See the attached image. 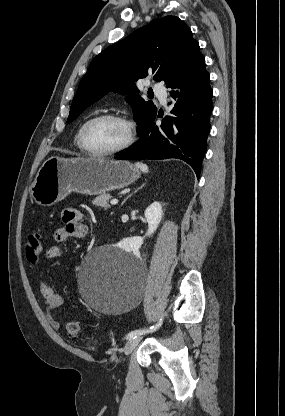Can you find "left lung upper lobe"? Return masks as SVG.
I'll use <instances>...</instances> for the list:
<instances>
[{
    "label": "left lung upper lobe",
    "mask_w": 285,
    "mask_h": 416,
    "mask_svg": "<svg viewBox=\"0 0 285 416\" xmlns=\"http://www.w3.org/2000/svg\"><path fill=\"white\" fill-rule=\"evenodd\" d=\"M201 56L190 28L178 17L154 19L92 60L72 101L67 123L109 91H115L127 94L139 132L155 118L157 108L133 94L139 92L133 90L134 81L152 73L155 81H164L167 87Z\"/></svg>",
    "instance_id": "left-lung-upper-lobe-1"
}]
</instances>
